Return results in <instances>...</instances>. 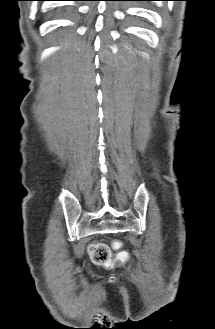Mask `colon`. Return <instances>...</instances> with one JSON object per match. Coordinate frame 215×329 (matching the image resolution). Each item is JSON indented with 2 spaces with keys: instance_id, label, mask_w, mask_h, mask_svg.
Here are the masks:
<instances>
[{
  "instance_id": "1",
  "label": "colon",
  "mask_w": 215,
  "mask_h": 329,
  "mask_svg": "<svg viewBox=\"0 0 215 329\" xmlns=\"http://www.w3.org/2000/svg\"><path fill=\"white\" fill-rule=\"evenodd\" d=\"M115 249L120 248L119 243H115L113 246ZM89 255L92 261L97 265H109L112 261L111 248L103 243H94L89 247ZM129 255L127 251L121 250L117 254V259L120 261H126Z\"/></svg>"
}]
</instances>
